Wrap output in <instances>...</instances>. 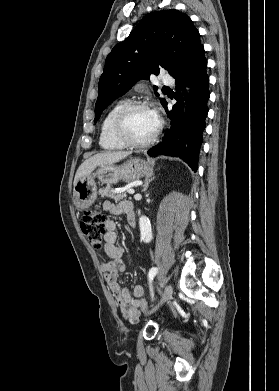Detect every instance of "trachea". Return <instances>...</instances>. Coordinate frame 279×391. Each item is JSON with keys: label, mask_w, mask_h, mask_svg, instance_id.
Listing matches in <instances>:
<instances>
[{"label": "trachea", "mask_w": 279, "mask_h": 391, "mask_svg": "<svg viewBox=\"0 0 279 391\" xmlns=\"http://www.w3.org/2000/svg\"><path fill=\"white\" fill-rule=\"evenodd\" d=\"M164 89H169V87H164Z\"/></svg>", "instance_id": "1"}]
</instances>
